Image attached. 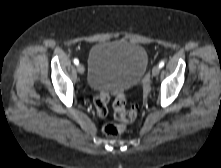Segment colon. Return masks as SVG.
<instances>
[{
  "mask_svg": "<svg viewBox=\"0 0 221 168\" xmlns=\"http://www.w3.org/2000/svg\"><path fill=\"white\" fill-rule=\"evenodd\" d=\"M109 95L108 93H102L94 100L95 109L98 115L105 116L108 112ZM114 116L117 120L122 122L133 121L138 114L136 107L126 109L125 94L122 90L115 91V99L113 102ZM124 130L122 124L108 122L103 126V133L108 137H117Z\"/></svg>",
  "mask_w": 221,
  "mask_h": 168,
  "instance_id": "colon-1",
  "label": "colon"
}]
</instances>
